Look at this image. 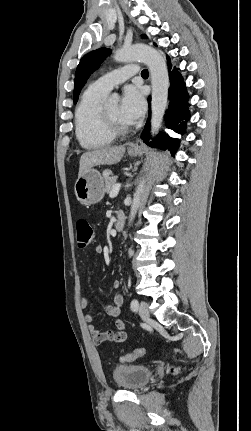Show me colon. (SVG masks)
Segmentation results:
<instances>
[{
	"mask_svg": "<svg viewBox=\"0 0 251 431\" xmlns=\"http://www.w3.org/2000/svg\"><path fill=\"white\" fill-rule=\"evenodd\" d=\"M94 241V229L87 219H79L76 222V242L79 248H86ZM145 353L144 348H136L133 351L121 356L120 362L127 363L141 358ZM171 373H177L179 367L171 365L169 367Z\"/></svg>",
	"mask_w": 251,
	"mask_h": 431,
	"instance_id": "obj_1",
	"label": "colon"
}]
</instances>
